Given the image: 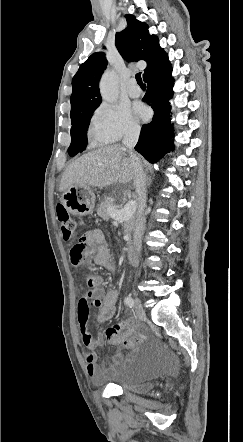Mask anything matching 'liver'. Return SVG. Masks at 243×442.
<instances>
[{"label":"liver","instance_id":"liver-1","mask_svg":"<svg viewBox=\"0 0 243 442\" xmlns=\"http://www.w3.org/2000/svg\"><path fill=\"white\" fill-rule=\"evenodd\" d=\"M133 163L128 151L118 144L88 152L73 161L65 170L59 190L72 186L103 188L117 182L133 180Z\"/></svg>","mask_w":243,"mask_h":442}]
</instances>
